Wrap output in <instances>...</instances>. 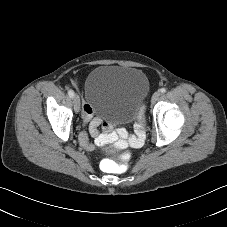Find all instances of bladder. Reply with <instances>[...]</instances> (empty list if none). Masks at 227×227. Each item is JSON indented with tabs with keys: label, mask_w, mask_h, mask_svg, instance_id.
<instances>
[{
	"label": "bladder",
	"mask_w": 227,
	"mask_h": 227,
	"mask_svg": "<svg viewBox=\"0 0 227 227\" xmlns=\"http://www.w3.org/2000/svg\"><path fill=\"white\" fill-rule=\"evenodd\" d=\"M148 92L146 76L137 68L104 64L85 82V98L95 114L106 120H134Z\"/></svg>",
	"instance_id": "31cf9c89"
}]
</instances>
